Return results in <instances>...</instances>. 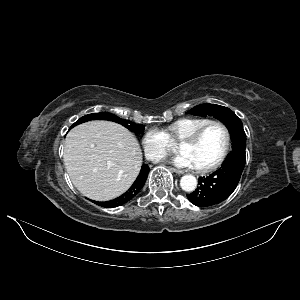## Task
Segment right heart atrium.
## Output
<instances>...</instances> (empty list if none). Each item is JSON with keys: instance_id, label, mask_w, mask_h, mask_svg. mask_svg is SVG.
Listing matches in <instances>:
<instances>
[{"instance_id": "d8ad5b80", "label": "right heart atrium", "mask_w": 300, "mask_h": 300, "mask_svg": "<svg viewBox=\"0 0 300 300\" xmlns=\"http://www.w3.org/2000/svg\"><path fill=\"white\" fill-rule=\"evenodd\" d=\"M142 146L146 158L150 161H157L170 152L171 141L166 132L154 127L143 135Z\"/></svg>"}]
</instances>
